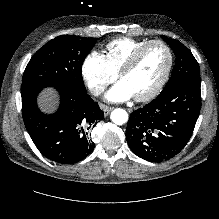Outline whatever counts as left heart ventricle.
I'll use <instances>...</instances> for the list:
<instances>
[{
    "label": "left heart ventricle",
    "instance_id": "obj_1",
    "mask_svg": "<svg viewBox=\"0 0 219 219\" xmlns=\"http://www.w3.org/2000/svg\"><path fill=\"white\" fill-rule=\"evenodd\" d=\"M168 61L166 49L161 45H152L142 54L136 65L123 76L122 81L127 84L133 96L143 95L160 80Z\"/></svg>",
    "mask_w": 219,
    "mask_h": 219
}]
</instances>
